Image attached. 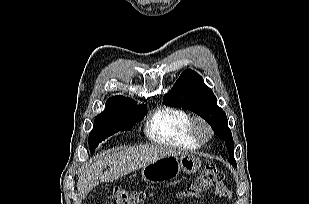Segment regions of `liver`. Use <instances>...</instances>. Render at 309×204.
<instances>
[{
	"label": "liver",
	"mask_w": 309,
	"mask_h": 204,
	"mask_svg": "<svg viewBox=\"0 0 309 204\" xmlns=\"http://www.w3.org/2000/svg\"><path fill=\"white\" fill-rule=\"evenodd\" d=\"M171 155H181L180 151L159 145H140L121 151H105L85 165L79 177V196L86 195L100 182L115 181L139 168ZM109 169L103 172V169Z\"/></svg>",
	"instance_id": "1"
}]
</instances>
